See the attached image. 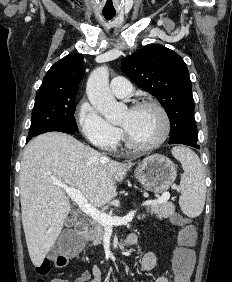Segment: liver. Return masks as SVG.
<instances>
[{
	"instance_id": "1",
	"label": "liver",
	"mask_w": 232,
	"mask_h": 282,
	"mask_svg": "<svg viewBox=\"0 0 232 282\" xmlns=\"http://www.w3.org/2000/svg\"><path fill=\"white\" fill-rule=\"evenodd\" d=\"M133 165L102 156L74 137L48 132L32 139L21 160L22 224L30 259L40 266L57 240L71 210L65 191L78 189L94 207L117 194V183Z\"/></svg>"
}]
</instances>
